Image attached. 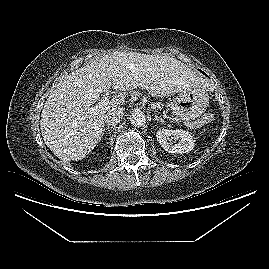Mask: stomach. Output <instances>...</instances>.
I'll list each match as a JSON object with an SVG mask.
<instances>
[{
    "label": "stomach",
    "mask_w": 269,
    "mask_h": 269,
    "mask_svg": "<svg viewBox=\"0 0 269 269\" xmlns=\"http://www.w3.org/2000/svg\"><path fill=\"white\" fill-rule=\"evenodd\" d=\"M209 105V94L205 87H195L181 91L170 103L172 114L195 125Z\"/></svg>",
    "instance_id": "0dacf381"
}]
</instances>
